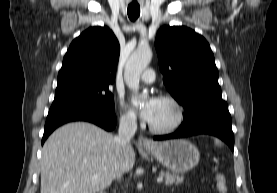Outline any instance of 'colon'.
<instances>
[{
	"mask_svg": "<svg viewBox=\"0 0 277 193\" xmlns=\"http://www.w3.org/2000/svg\"><path fill=\"white\" fill-rule=\"evenodd\" d=\"M215 186L219 193H228L227 180L223 174L218 173L215 175Z\"/></svg>",
	"mask_w": 277,
	"mask_h": 193,
	"instance_id": "colon-1",
	"label": "colon"
}]
</instances>
